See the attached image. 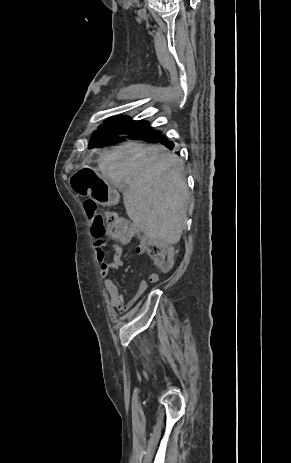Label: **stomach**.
I'll use <instances>...</instances> for the list:
<instances>
[{"label":"stomach","instance_id":"0dacf381","mask_svg":"<svg viewBox=\"0 0 291 463\" xmlns=\"http://www.w3.org/2000/svg\"><path fill=\"white\" fill-rule=\"evenodd\" d=\"M71 188L80 196H90L100 205H113L118 200L112 183L88 168L80 170L70 179Z\"/></svg>","mask_w":291,"mask_h":463}]
</instances>
